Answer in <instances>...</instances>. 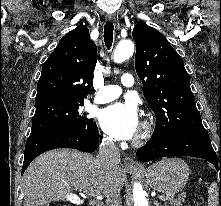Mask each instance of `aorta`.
<instances>
[{"label":"aorta","mask_w":221,"mask_h":206,"mask_svg":"<svg viewBox=\"0 0 221 206\" xmlns=\"http://www.w3.org/2000/svg\"><path fill=\"white\" fill-rule=\"evenodd\" d=\"M134 53V43L131 40H121L113 53V60L121 63L131 57ZM134 206H148V201L140 183H135L133 187Z\"/></svg>","instance_id":"obj_1"}]
</instances>
